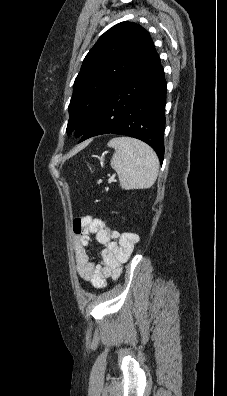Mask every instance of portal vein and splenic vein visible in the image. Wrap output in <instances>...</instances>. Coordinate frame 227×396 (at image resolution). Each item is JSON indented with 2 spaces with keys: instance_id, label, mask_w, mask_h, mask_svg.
I'll use <instances>...</instances> for the list:
<instances>
[{
  "instance_id": "1",
  "label": "portal vein and splenic vein",
  "mask_w": 227,
  "mask_h": 396,
  "mask_svg": "<svg viewBox=\"0 0 227 396\" xmlns=\"http://www.w3.org/2000/svg\"><path fill=\"white\" fill-rule=\"evenodd\" d=\"M109 181L112 182V181H113V178H110Z\"/></svg>"
}]
</instances>
